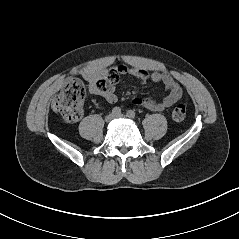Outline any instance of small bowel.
<instances>
[{
    "mask_svg": "<svg viewBox=\"0 0 239 239\" xmlns=\"http://www.w3.org/2000/svg\"><path fill=\"white\" fill-rule=\"evenodd\" d=\"M124 76L135 78L141 83L151 81L155 84H162L168 91L167 96L161 101H155L151 98H140L134 100L135 103L150 111H164L165 109L175 105L182 99L183 93L181 87L170 75L165 73H149L143 68L117 65L112 69L103 72L87 71L84 74L85 79L89 83L91 93L103 97L109 103H115L117 101L115 84L121 77ZM108 78H112V81H108L104 89H99L97 87V81Z\"/></svg>",
    "mask_w": 239,
    "mask_h": 239,
    "instance_id": "small-bowel-1",
    "label": "small bowel"
}]
</instances>
